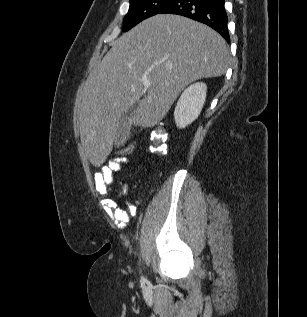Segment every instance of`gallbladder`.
<instances>
[{"instance_id":"1","label":"gallbladder","mask_w":307,"mask_h":317,"mask_svg":"<svg viewBox=\"0 0 307 317\" xmlns=\"http://www.w3.org/2000/svg\"><path fill=\"white\" fill-rule=\"evenodd\" d=\"M132 116H133V112L132 110H129L126 113H124L121 116V118L118 120V124L116 127V134L114 138V144L117 147L124 145V143L129 137L131 126H132L130 122Z\"/></svg>"}]
</instances>
